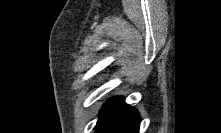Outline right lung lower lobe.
<instances>
[{
    "instance_id": "right-lung-lower-lobe-1",
    "label": "right lung lower lobe",
    "mask_w": 221,
    "mask_h": 133,
    "mask_svg": "<svg viewBox=\"0 0 221 133\" xmlns=\"http://www.w3.org/2000/svg\"><path fill=\"white\" fill-rule=\"evenodd\" d=\"M140 117L122 98H113L102 108L96 133H138Z\"/></svg>"
}]
</instances>
